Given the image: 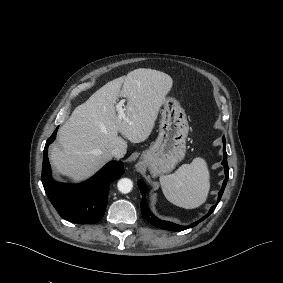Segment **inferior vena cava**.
Wrapping results in <instances>:
<instances>
[{
    "label": "inferior vena cava",
    "mask_w": 283,
    "mask_h": 283,
    "mask_svg": "<svg viewBox=\"0 0 283 283\" xmlns=\"http://www.w3.org/2000/svg\"><path fill=\"white\" fill-rule=\"evenodd\" d=\"M125 154V151H123L122 149L116 147L112 150V155L115 157V158H122Z\"/></svg>",
    "instance_id": "1"
}]
</instances>
